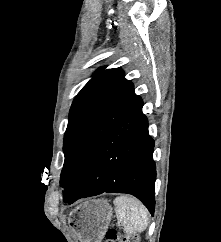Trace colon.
<instances>
[{"label":"colon","mask_w":221,"mask_h":242,"mask_svg":"<svg viewBox=\"0 0 221 242\" xmlns=\"http://www.w3.org/2000/svg\"><path fill=\"white\" fill-rule=\"evenodd\" d=\"M105 242H139L136 234L124 235L115 229H110Z\"/></svg>","instance_id":"5ec220e1"}]
</instances>
